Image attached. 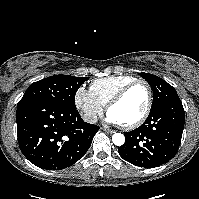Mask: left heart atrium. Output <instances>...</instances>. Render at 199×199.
<instances>
[{
	"mask_svg": "<svg viewBox=\"0 0 199 199\" xmlns=\"http://www.w3.org/2000/svg\"><path fill=\"white\" fill-rule=\"evenodd\" d=\"M105 119H106L107 122H109L111 124H120L118 119L114 115H112L110 112L107 113Z\"/></svg>",
	"mask_w": 199,
	"mask_h": 199,
	"instance_id": "left-heart-atrium-1",
	"label": "left heart atrium"
}]
</instances>
